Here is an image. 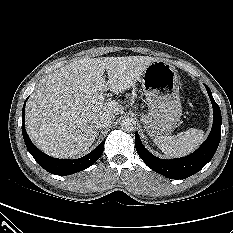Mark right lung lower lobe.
Returning a JSON list of instances; mask_svg holds the SVG:
<instances>
[{"instance_id":"1","label":"right lung lower lobe","mask_w":233,"mask_h":233,"mask_svg":"<svg viewBox=\"0 0 233 233\" xmlns=\"http://www.w3.org/2000/svg\"><path fill=\"white\" fill-rule=\"evenodd\" d=\"M24 111H25V103L22 110V120H23L22 133L27 149L31 153L33 158L36 160V162L49 173L64 176L82 171L93 165L94 162H96L99 159V157L102 155L104 150V141L101 142L89 154L79 159H74V160L56 159L46 155L45 153H43L33 145L28 134L26 133Z\"/></svg>"}]
</instances>
